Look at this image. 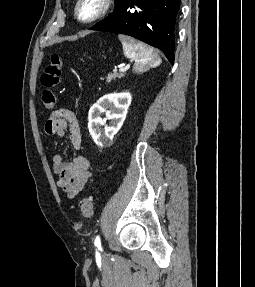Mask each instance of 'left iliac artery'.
I'll use <instances>...</instances> for the list:
<instances>
[{"mask_svg":"<svg viewBox=\"0 0 255 287\" xmlns=\"http://www.w3.org/2000/svg\"><path fill=\"white\" fill-rule=\"evenodd\" d=\"M100 244H101V243H100V238H99V236H97L96 239H95V246H98V247H99Z\"/></svg>","mask_w":255,"mask_h":287,"instance_id":"1","label":"left iliac artery"}]
</instances>
